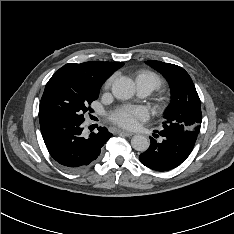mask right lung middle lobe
Masks as SVG:
<instances>
[{
	"label": "right lung middle lobe",
	"mask_w": 234,
	"mask_h": 234,
	"mask_svg": "<svg viewBox=\"0 0 234 234\" xmlns=\"http://www.w3.org/2000/svg\"><path fill=\"white\" fill-rule=\"evenodd\" d=\"M99 89L98 85L56 72L46 84L40 101V123L58 118L84 120V113L93 112L89 105L98 98Z\"/></svg>",
	"instance_id": "right-lung-middle-lobe-1"
}]
</instances>
